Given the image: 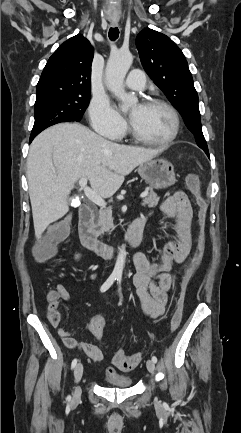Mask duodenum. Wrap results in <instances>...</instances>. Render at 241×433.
Returning <instances> with one entry per match:
<instances>
[{"mask_svg": "<svg viewBox=\"0 0 241 433\" xmlns=\"http://www.w3.org/2000/svg\"><path fill=\"white\" fill-rule=\"evenodd\" d=\"M93 211L89 206H82L79 212V238L82 245L96 255L103 258H112L117 251V247L101 242L96 237L92 228ZM145 216L136 217L131 225L126 237L128 246L135 248L140 244L144 226Z\"/></svg>", "mask_w": 241, "mask_h": 433, "instance_id": "duodenum-1", "label": "duodenum"}]
</instances>
